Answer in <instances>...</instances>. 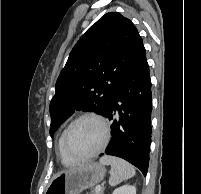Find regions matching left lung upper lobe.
I'll list each match as a JSON object with an SVG mask.
<instances>
[{
  "label": "left lung upper lobe",
  "instance_id": "1",
  "mask_svg": "<svg viewBox=\"0 0 201 194\" xmlns=\"http://www.w3.org/2000/svg\"><path fill=\"white\" fill-rule=\"evenodd\" d=\"M143 41L120 13L99 19L73 47L50 103L53 137L75 110L104 114Z\"/></svg>",
  "mask_w": 201,
  "mask_h": 194
}]
</instances>
